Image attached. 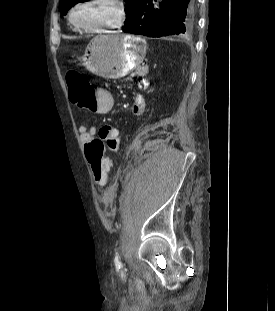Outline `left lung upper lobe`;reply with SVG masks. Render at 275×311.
<instances>
[{"mask_svg":"<svg viewBox=\"0 0 275 311\" xmlns=\"http://www.w3.org/2000/svg\"><path fill=\"white\" fill-rule=\"evenodd\" d=\"M88 0H60L59 8L62 15H65L68 10L75 4L80 2H85ZM127 3L125 8L126 12V21L125 25L130 24L136 19V16L144 2V0H124Z\"/></svg>","mask_w":275,"mask_h":311,"instance_id":"5c2ea615","label":"left lung upper lobe"}]
</instances>
